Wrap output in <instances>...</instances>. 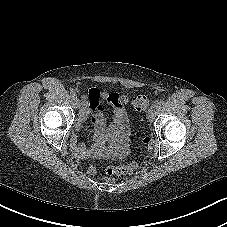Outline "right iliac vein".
I'll return each mask as SVG.
<instances>
[{"instance_id": "right-iliac-vein-1", "label": "right iliac vein", "mask_w": 227, "mask_h": 227, "mask_svg": "<svg viewBox=\"0 0 227 227\" xmlns=\"http://www.w3.org/2000/svg\"><path fill=\"white\" fill-rule=\"evenodd\" d=\"M74 106H75V108H77V109H79V108L81 107V101H80L78 98H76V99L74 100Z\"/></svg>"}]
</instances>
